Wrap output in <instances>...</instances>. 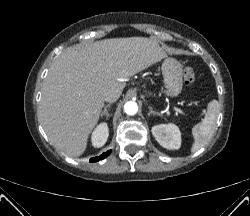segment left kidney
<instances>
[{
	"mask_svg": "<svg viewBox=\"0 0 250 216\" xmlns=\"http://www.w3.org/2000/svg\"><path fill=\"white\" fill-rule=\"evenodd\" d=\"M157 142L164 148L175 150L181 146V133L174 124L155 125L151 129Z\"/></svg>",
	"mask_w": 250,
	"mask_h": 216,
	"instance_id": "obj_1",
	"label": "left kidney"
}]
</instances>
